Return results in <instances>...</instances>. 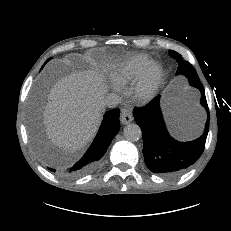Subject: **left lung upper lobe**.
<instances>
[{"label": "left lung upper lobe", "instance_id": "left-lung-upper-lobe-1", "mask_svg": "<svg viewBox=\"0 0 231 231\" xmlns=\"http://www.w3.org/2000/svg\"><path fill=\"white\" fill-rule=\"evenodd\" d=\"M169 55L173 57L179 64L176 75L184 74L186 77H188L190 82L200 81L194 67L189 62L184 61L179 53L169 50Z\"/></svg>", "mask_w": 231, "mask_h": 231}]
</instances>
